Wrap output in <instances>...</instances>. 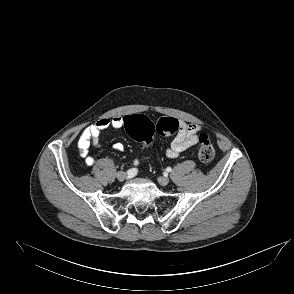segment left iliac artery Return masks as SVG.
I'll return each mask as SVG.
<instances>
[{
	"label": "left iliac artery",
	"mask_w": 294,
	"mask_h": 294,
	"mask_svg": "<svg viewBox=\"0 0 294 294\" xmlns=\"http://www.w3.org/2000/svg\"><path fill=\"white\" fill-rule=\"evenodd\" d=\"M166 171H167V172H171L172 169H171L170 167H168V168H166Z\"/></svg>",
	"instance_id": "1"
}]
</instances>
